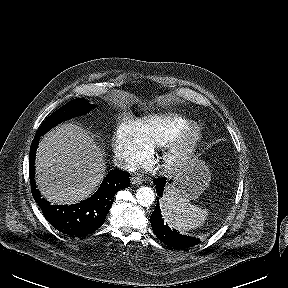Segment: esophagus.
Segmentation results:
<instances>
[{"label": "esophagus", "mask_w": 288, "mask_h": 288, "mask_svg": "<svg viewBox=\"0 0 288 288\" xmlns=\"http://www.w3.org/2000/svg\"><path fill=\"white\" fill-rule=\"evenodd\" d=\"M142 182H143V179L140 176H133L131 178V183L134 185H140Z\"/></svg>", "instance_id": "1"}]
</instances>
